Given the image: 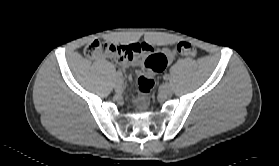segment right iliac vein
Masks as SVG:
<instances>
[{
    "mask_svg": "<svg viewBox=\"0 0 279 166\" xmlns=\"http://www.w3.org/2000/svg\"><path fill=\"white\" fill-rule=\"evenodd\" d=\"M114 88H115V90H116L117 92L122 91V89H123V82H122L121 79H118V80L116 81V83H115V85H114Z\"/></svg>",
    "mask_w": 279,
    "mask_h": 166,
    "instance_id": "63e3f726",
    "label": "right iliac vein"
}]
</instances>
